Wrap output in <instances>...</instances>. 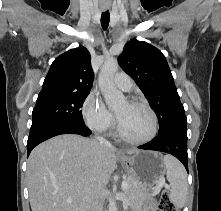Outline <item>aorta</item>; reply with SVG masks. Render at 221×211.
<instances>
[{"instance_id": "1", "label": "aorta", "mask_w": 221, "mask_h": 211, "mask_svg": "<svg viewBox=\"0 0 221 211\" xmlns=\"http://www.w3.org/2000/svg\"><path fill=\"white\" fill-rule=\"evenodd\" d=\"M118 66L117 59H107L99 73V88L109 108H115L125 102L123 93L116 89L113 81ZM109 211H117L116 202L113 198L109 199Z\"/></svg>"}]
</instances>
